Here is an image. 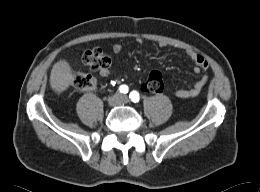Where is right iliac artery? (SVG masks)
<instances>
[{"mask_svg":"<svg viewBox=\"0 0 260 192\" xmlns=\"http://www.w3.org/2000/svg\"><path fill=\"white\" fill-rule=\"evenodd\" d=\"M119 91L121 92V93H127L128 91H129V88H128V86L127 85H121L120 87H119Z\"/></svg>","mask_w":260,"mask_h":192,"instance_id":"obj_1","label":"right iliac artery"}]
</instances>
